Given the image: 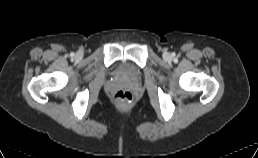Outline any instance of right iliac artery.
<instances>
[{"instance_id":"1","label":"right iliac artery","mask_w":258,"mask_h":158,"mask_svg":"<svg viewBox=\"0 0 258 158\" xmlns=\"http://www.w3.org/2000/svg\"><path fill=\"white\" fill-rule=\"evenodd\" d=\"M71 56H74V53H71Z\"/></svg>"}]
</instances>
